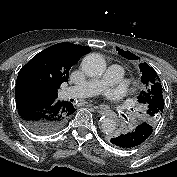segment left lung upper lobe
Segmentation results:
<instances>
[{
	"label": "left lung upper lobe",
	"mask_w": 177,
	"mask_h": 177,
	"mask_svg": "<svg viewBox=\"0 0 177 177\" xmlns=\"http://www.w3.org/2000/svg\"><path fill=\"white\" fill-rule=\"evenodd\" d=\"M122 56L126 57V52L120 50ZM142 73L141 82L143 90L137 97L138 102L143 106L142 120L155 126L162 116L164 109V98L161 81L156 71L146 62L139 65Z\"/></svg>",
	"instance_id": "left-lung-upper-lobe-1"
}]
</instances>
